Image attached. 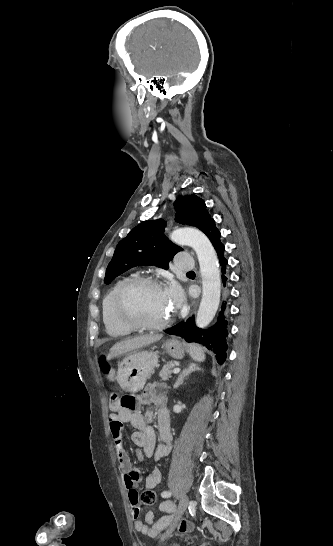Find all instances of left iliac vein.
Here are the masks:
<instances>
[{"label": "left iliac vein", "mask_w": 333, "mask_h": 546, "mask_svg": "<svg viewBox=\"0 0 333 546\" xmlns=\"http://www.w3.org/2000/svg\"><path fill=\"white\" fill-rule=\"evenodd\" d=\"M188 503H189L188 496L183 495L180 502H179L177 513H176V516H175V518L173 520V523H172V525L170 527V530L163 536V538H166L174 530V528L177 526V524L180 521L182 515L184 514V512L187 509Z\"/></svg>", "instance_id": "1"}]
</instances>
